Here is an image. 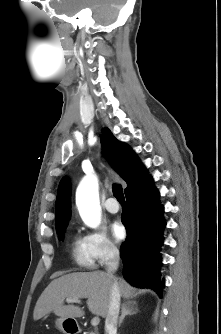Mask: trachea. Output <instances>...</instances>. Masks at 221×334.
<instances>
[{"instance_id": "obj_1", "label": "trachea", "mask_w": 221, "mask_h": 334, "mask_svg": "<svg viewBox=\"0 0 221 334\" xmlns=\"http://www.w3.org/2000/svg\"><path fill=\"white\" fill-rule=\"evenodd\" d=\"M113 195L119 202H124V194L121 185L113 186Z\"/></svg>"}]
</instances>
